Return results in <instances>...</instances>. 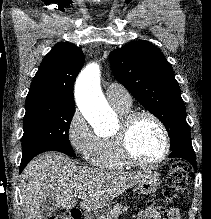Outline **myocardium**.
I'll return each instance as SVG.
<instances>
[{
    "instance_id": "myocardium-1",
    "label": "myocardium",
    "mask_w": 211,
    "mask_h": 219,
    "mask_svg": "<svg viewBox=\"0 0 211 219\" xmlns=\"http://www.w3.org/2000/svg\"><path fill=\"white\" fill-rule=\"evenodd\" d=\"M141 117H149L150 119H152L159 127L164 140V148L161 156L158 159L150 162L140 160L131 149V144H130L131 132L134 127V124ZM115 138L121 157L128 164L133 166H137L141 168L156 167L162 164L170 154L171 141H170L169 132L163 121L156 114L148 110L131 111L126 116H124L121 125L117 133L115 134Z\"/></svg>"
}]
</instances>
